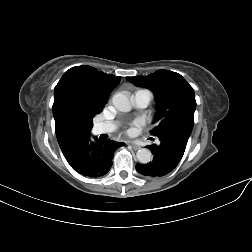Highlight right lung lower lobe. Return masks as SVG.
I'll use <instances>...</instances> for the list:
<instances>
[{
  "label": "right lung lower lobe",
  "instance_id": "obj_1",
  "mask_svg": "<svg viewBox=\"0 0 252 252\" xmlns=\"http://www.w3.org/2000/svg\"><path fill=\"white\" fill-rule=\"evenodd\" d=\"M124 143L111 140L90 139V134L72 141L62 153L70 166L83 176L97 178L104 176L112 166L114 151Z\"/></svg>",
  "mask_w": 252,
  "mask_h": 252
}]
</instances>
